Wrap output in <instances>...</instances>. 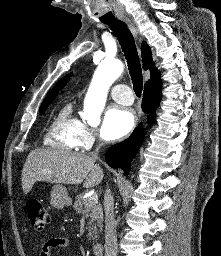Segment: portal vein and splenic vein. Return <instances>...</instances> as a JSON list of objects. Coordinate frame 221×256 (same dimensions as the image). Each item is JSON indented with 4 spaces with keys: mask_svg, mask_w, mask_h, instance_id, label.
I'll list each match as a JSON object with an SVG mask.
<instances>
[{
    "mask_svg": "<svg viewBox=\"0 0 221 256\" xmlns=\"http://www.w3.org/2000/svg\"><path fill=\"white\" fill-rule=\"evenodd\" d=\"M90 200H91V201H94V202H98V195H97V193H94V194L90 197Z\"/></svg>",
    "mask_w": 221,
    "mask_h": 256,
    "instance_id": "obj_1",
    "label": "portal vein and splenic vein"
}]
</instances>
